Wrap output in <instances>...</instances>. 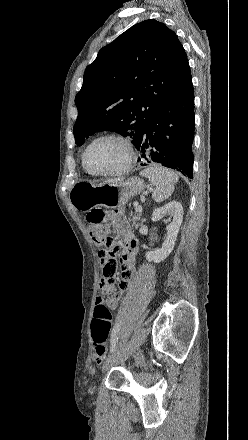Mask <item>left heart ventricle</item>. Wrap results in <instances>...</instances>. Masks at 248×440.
Wrapping results in <instances>:
<instances>
[{"label":"left heart ventricle","mask_w":248,"mask_h":440,"mask_svg":"<svg viewBox=\"0 0 248 440\" xmlns=\"http://www.w3.org/2000/svg\"><path fill=\"white\" fill-rule=\"evenodd\" d=\"M127 157L125 146L118 140L105 139L95 143L87 155V164L94 172H108L121 168Z\"/></svg>","instance_id":"1"}]
</instances>
